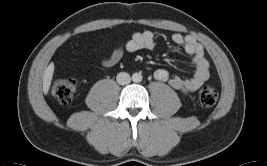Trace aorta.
Listing matches in <instances>:
<instances>
[{
	"mask_svg": "<svg viewBox=\"0 0 267 166\" xmlns=\"http://www.w3.org/2000/svg\"><path fill=\"white\" fill-rule=\"evenodd\" d=\"M132 80L134 82H141L142 81V75L140 73H134L132 75Z\"/></svg>",
	"mask_w": 267,
	"mask_h": 166,
	"instance_id": "obj_1",
	"label": "aorta"
}]
</instances>
